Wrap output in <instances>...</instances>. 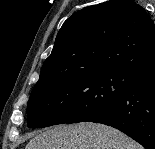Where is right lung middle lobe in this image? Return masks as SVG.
Here are the masks:
<instances>
[{"instance_id": "1", "label": "right lung middle lobe", "mask_w": 155, "mask_h": 149, "mask_svg": "<svg viewBox=\"0 0 155 149\" xmlns=\"http://www.w3.org/2000/svg\"><path fill=\"white\" fill-rule=\"evenodd\" d=\"M141 74L128 70L89 71L42 80L31 92L30 128L91 121L124 95Z\"/></svg>"}]
</instances>
